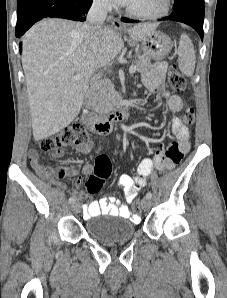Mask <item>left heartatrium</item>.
I'll list each match as a JSON object with an SVG mask.
<instances>
[{"mask_svg": "<svg viewBox=\"0 0 227 298\" xmlns=\"http://www.w3.org/2000/svg\"><path fill=\"white\" fill-rule=\"evenodd\" d=\"M113 1L123 6H129L132 2V0H113Z\"/></svg>", "mask_w": 227, "mask_h": 298, "instance_id": "1", "label": "left heart atrium"}]
</instances>
